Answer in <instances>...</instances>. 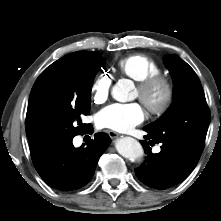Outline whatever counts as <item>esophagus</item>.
<instances>
[{
    "instance_id": "34e87169",
    "label": "esophagus",
    "mask_w": 221,
    "mask_h": 221,
    "mask_svg": "<svg viewBox=\"0 0 221 221\" xmlns=\"http://www.w3.org/2000/svg\"><path fill=\"white\" fill-rule=\"evenodd\" d=\"M107 133L111 138H116L119 136V134L117 132L112 131V130H107Z\"/></svg>"
}]
</instances>
